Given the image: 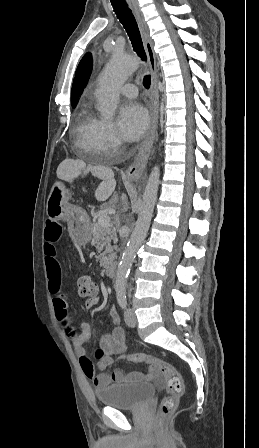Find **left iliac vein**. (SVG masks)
Returning a JSON list of instances; mask_svg holds the SVG:
<instances>
[{
    "mask_svg": "<svg viewBox=\"0 0 259 448\" xmlns=\"http://www.w3.org/2000/svg\"><path fill=\"white\" fill-rule=\"evenodd\" d=\"M124 320L127 326L134 328L137 324L136 315L131 308H127L124 312Z\"/></svg>",
    "mask_w": 259,
    "mask_h": 448,
    "instance_id": "obj_1",
    "label": "left iliac vein"
}]
</instances>
